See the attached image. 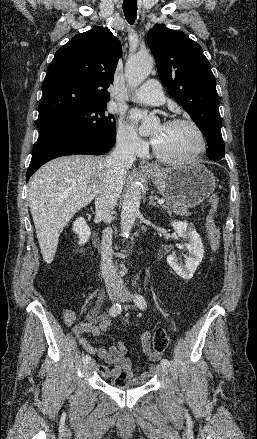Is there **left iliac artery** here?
Returning a JSON list of instances; mask_svg holds the SVG:
<instances>
[{"instance_id": "44dca946", "label": "left iliac artery", "mask_w": 257, "mask_h": 439, "mask_svg": "<svg viewBox=\"0 0 257 439\" xmlns=\"http://www.w3.org/2000/svg\"><path fill=\"white\" fill-rule=\"evenodd\" d=\"M134 302H135L136 306L139 309H141V310H144L147 307V303H146L144 297L142 295H140V294H135L134 295ZM161 365H164V366L168 367L169 366V361L167 359H162L161 360Z\"/></svg>"}]
</instances>
